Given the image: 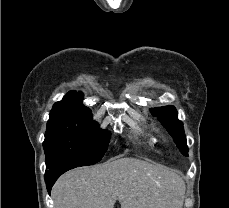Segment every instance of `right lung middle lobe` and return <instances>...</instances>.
I'll list each match as a JSON object with an SVG mask.
<instances>
[{"label":"right lung middle lobe","instance_id":"dd1d6c3e","mask_svg":"<svg viewBox=\"0 0 229 208\" xmlns=\"http://www.w3.org/2000/svg\"><path fill=\"white\" fill-rule=\"evenodd\" d=\"M109 140L110 133L102 131L91 117L52 109L43 142L46 172L63 166L78 167L99 162Z\"/></svg>","mask_w":229,"mask_h":208}]
</instances>
